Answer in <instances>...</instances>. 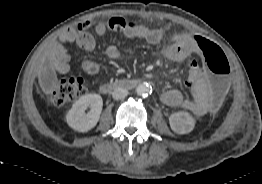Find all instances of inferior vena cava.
Masks as SVG:
<instances>
[{"instance_id": "1", "label": "inferior vena cava", "mask_w": 262, "mask_h": 184, "mask_svg": "<svg viewBox=\"0 0 262 184\" xmlns=\"http://www.w3.org/2000/svg\"><path fill=\"white\" fill-rule=\"evenodd\" d=\"M128 95V90L122 87H117L112 92V97L115 100L123 99Z\"/></svg>"}]
</instances>
